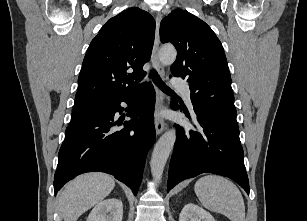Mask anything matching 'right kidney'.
<instances>
[{"mask_svg":"<svg viewBox=\"0 0 307 221\" xmlns=\"http://www.w3.org/2000/svg\"><path fill=\"white\" fill-rule=\"evenodd\" d=\"M123 204L116 198L99 202L91 211L86 221H122Z\"/></svg>","mask_w":307,"mask_h":221,"instance_id":"obj_1","label":"right kidney"}]
</instances>
